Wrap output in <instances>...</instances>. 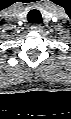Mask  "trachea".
<instances>
[{
    "label": "trachea",
    "mask_w": 71,
    "mask_h": 119,
    "mask_svg": "<svg viewBox=\"0 0 71 119\" xmlns=\"http://www.w3.org/2000/svg\"><path fill=\"white\" fill-rule=\"evenodd\" d=\"M27 19L30 23H42V15L36 9L30 10L28 12Z\"/></svg>",
    "instance_id": "3493384b"
}]
</instances>
